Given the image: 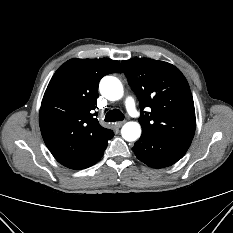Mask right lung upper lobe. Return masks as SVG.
Masks as SVG:
<instances>
[{
    "instance_id": "cb5924a9",
    "label": "right lung upper lobe",
    "mask_w": 233,
    "mask_h": 233,
    "mask_svg": "<svg viewBox=\"0 0 233 233\" xmlns=\"http://www.w3.org/2000/svg\"><path fill=\"white\" fill-rule=\"evenodd\" d=\"M122 73L120 63L107 58L71 59L51 78L44 94L39 124L44 142L55 159L70 169L95 164L113 131L103 128L96 108L100 79Z\"/></svg>"
}]
</instances>
